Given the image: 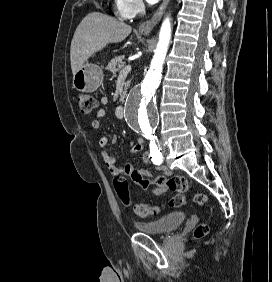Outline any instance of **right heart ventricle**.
Listing matches in <instances>:
<instances>
[{"label": "right heart ventricle", "mask_w": 272, "mask_h": 282, "mask_svg": "<svg viewBox=\"0 0 272 282\" xmlns=\"http://www.w3.org/2000/svg\"><path fill=\"white\" fill-rule=\"evenodd\" d=\"M120 1H121V0H118L117 5L120 4ZM119 17H120L121 19H127V18H128V17L123 16V15H121V14H119Z\"/></svg>", "instance_id": "e07e8e85"}]
</instances>
